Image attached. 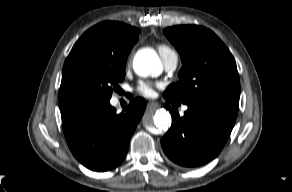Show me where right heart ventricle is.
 <instances>
[{
	"instance_id": "obj_1",
	"label": "right heart ventricle",
	"mask_w": 292,
	"mask_h": 192,
	"mask_svg": "<svg viewBox=\"0 0 292 192\" xmlns=\"http://www.w3.org/2000/svg\"><path fill=\"white\" fill-rule=\"evenodd\" d=\"M158 50H159V53H160L161 56L164 55L165 53L169 52V51H172V50H171L168 46H166V45H160V46L158 47Z\"/></svg>"
}]
</instances>
